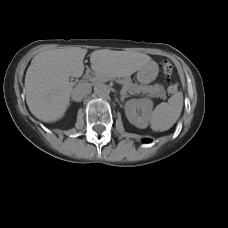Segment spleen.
Listing matches in <instances>:
<instances>
[{"mask_svg":"<svg viewBox=\"0 0 228 228\" xmlns=\"http://www.w3.org/2000/svg\"><path fill=\"white\" fill-rule=\"evenodd\" d=\"M183 109V93L176 92L167 102L155 107L149 116L150 127L153 131L170 129L180 117Z\"/></svg>","mask_w":228,"mask_h":228,"instance_id":"3e777b00","label":"spleen"}]
</instances>
